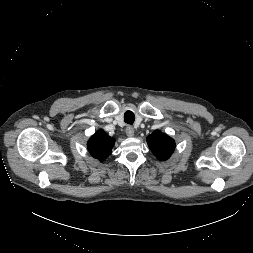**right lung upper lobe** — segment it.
I'll use <instances>...</instances> for the list:
<instances>
[{"mask_svg":"<svg viewBox=\"0 0 253 253\" xmlns=\"http://www.w3.org/2000/svg\"><path fill=\"white\" fill-rule=\"evenodd\" d=\"M114 139L103 130L96 132L88 141V150L91 155L99 160H104L112 151Z\"/></svg>","mask_w":253,"mask_h":253,"instance_id":"cb5924a9","label":"right lung upper lobe"}]
</instances>
